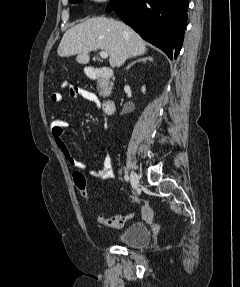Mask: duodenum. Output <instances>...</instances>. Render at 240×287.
I'll list each match as a JSON object with an SVG mask.
<instances>
[{
    "instance_id": "410a0bca",
    "label": "duodenum",
    "mask_w": 240,
    "mask_h": 287,
    "mask_svg": "<svg viewBox=\"0 0 240 287\" xmlns=\"http://www.w3.org/2000/svg\"><path fill=\"white\" fill-rule=\"evenodd\" d=\"M88 77L92 80L106 81L110 79L112 73L107 68L88 67ZM103 109L106 114H112L115 109V102L112 99H106L103 102Z\"/></svg>"
}]
</instances>
